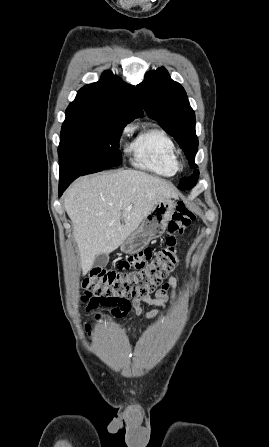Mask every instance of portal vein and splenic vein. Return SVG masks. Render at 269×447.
<instances>
[{"label":"portal vein and splenic vein","mask_w":269,"mask_h":447,"mask_svg":"<svg viewBox=\"0 0 269 447\" xmlns=\"http://www.w3.org/2000/svg\"><path fill=\"white\" fill-rule=\"evenodd\" d=\"M121 210H124V208H121ZM125 210H128V208H125Z\"/></svg>","instance_id":"obj_1"}]
</instances>
